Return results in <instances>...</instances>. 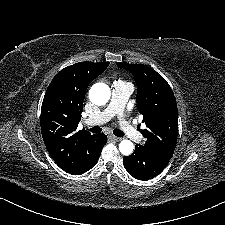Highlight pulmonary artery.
<instances>
[{"label": "pulmonary artery", "instance_id": "pulmonary-artery-1", "mask_svg": "<svg viewBox=\"0 0 225 225\" xmlns=\"http://www.w3.org/2000/svg\"><path fill=\"white\" fill-rule=\"evenodd\" d=\"M132 92V84L122 81L114 82V84L112 85V97L109 105L99 114L87 119L85 123L91 126L106 123L113 116L119 114L123 110ZM122 129L132 140L137 142H141L144 140L143 135L140 134L129 122L124 121Z\"/></svg>", "mask_w": 225, "mask_h": 225}]
</instances>
